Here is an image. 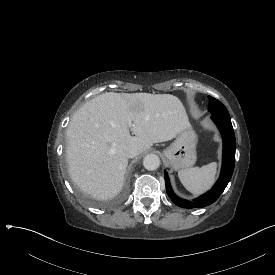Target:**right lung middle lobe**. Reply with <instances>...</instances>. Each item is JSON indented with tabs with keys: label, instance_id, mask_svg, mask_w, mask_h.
I'll use <instances>...</instances> for the list:
<instances>
[{
	"label": "right lung middle lobe",
	"instance_id": "right-lung-middle-lobe-1",
	"mask_svg": "<svg viewBox=\"0 0 275 275\" xmlns=\"http://www.w3.org/2000/svg\"><path fill=\"white\" fill-rule=\"evenodd\" d=\"M61 154L64 173L71 181L72 187L74 188L75 193L78 195V198L88 207L92 209H107L108 207H113L114 205L118 204L127 195L129 185L131 184V180L129 178H126L124 180L121 192L116 195L112 200H108L107 202L103 203L100 199H95L88 194H84L82 188L79 186V182L76 180L75 175L70 170L69 160L67 156L68 147L66 145H63L61 147Z\"/></svg>",
	"mask_w": 275,
	"mask_h": 275
}]
</instances>
